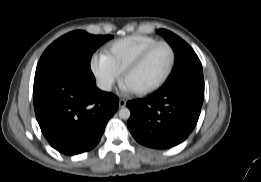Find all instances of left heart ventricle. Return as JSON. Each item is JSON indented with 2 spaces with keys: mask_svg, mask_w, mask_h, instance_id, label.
Segmentation results:
<instances>
[{
  "mask_svg": "<svg viewBox=\"0 0 261 182\" xmlns=\"http://www.w3.org/2000/svg\"><path fill=\"white\" fill-rule=\"evenodd\" d=\"M171 60L170 50L161 46L154 50L144 63L132 72L125 84L132 91L142 90L158 82L168 69Z\"/></svg>",
  "mask_w": 261,
  "mask_h": 182,
  "instance_id": "b2bd125f",
  "label": "left heart ventricle"
}]
</instances>
